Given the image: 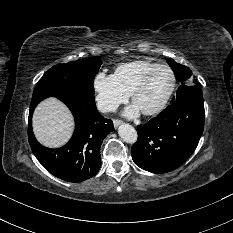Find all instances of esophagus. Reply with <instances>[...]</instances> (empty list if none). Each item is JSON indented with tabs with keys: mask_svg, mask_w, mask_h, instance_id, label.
<instances>
[{
	"mask_svg": "<svg viewBox=\"0 0 233 233\" xmlns=\"http://www.w3.org/2000/svg\"><path fill=\"white\" fill-rule=\"evenodd\" d=\"M113 124H114V127L117 128L120 124H122V121L119 119H114Z\"/></svg>",
	"mask_w": 233,
	"mask_h": 233,
	"instance_id": "obj_1",
	"label": "esophagus"
}]
</instances>
